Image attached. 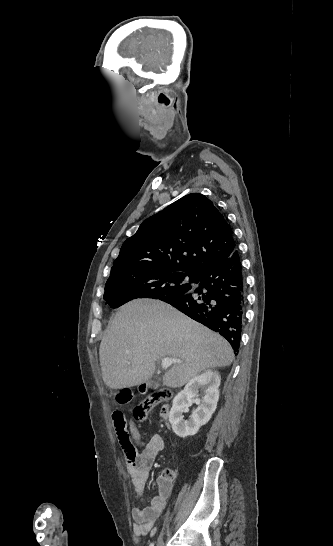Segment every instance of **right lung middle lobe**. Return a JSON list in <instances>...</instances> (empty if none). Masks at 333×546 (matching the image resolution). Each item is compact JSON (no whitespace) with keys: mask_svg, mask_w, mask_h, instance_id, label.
I'll return each instance as SVG.
<instances>
[{"mask_svg":"<svg viewBox=\"0 0 333 546\" xmlns=\"http://www.w3.org/2000/svg\"><path fill=\"white\" fill-rule=\"evenodd\" d=\"M186 276L195 282L196 276L169 271H151L137 267L111 270L105 285L104 300L117 308L136 298L160 299L167 295L186 294L189 284H182Z\"/></svg>","mask_w":333,"mask_h":546,"instance_id":"1","label":"right lung middle lobe"}]
</instances>
